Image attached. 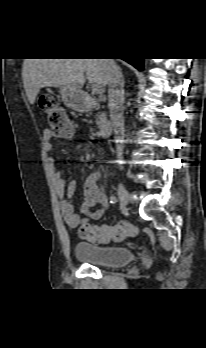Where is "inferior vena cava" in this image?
<instances>
[{"label": "inferior vena cava", "mask_w": 206, "mask_h": 348, "mask_svg": "<svg viewBox=\"0 0 206 348\" xmlns=\"http://www.w3.org/2000/svg\"><path fill=\"white\" fill-rule=\"evenodd\" d=\"M106 64L108 77V107L111 124L115 133L116 152L119 159L123 155L124 138V80L122 73L114 59H103Z\"/></svg>", "instance_id": "1"}]
</instances>
